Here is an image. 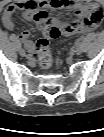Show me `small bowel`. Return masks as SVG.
<instances>
[{"label": "small bowel", "mask_w": 104, "mask_h": 137, "mask_svg": "<svg viewBox=\"0 0 104 137\" xmlns=\"http://www.w3.org/2000/svg\"><path fill=\"white\" fill-rule=\"evenodd\" d=\"M42 9H68L79 18L68 25L62 24L57 19L52 20V23L59 26L63 35L66 36L96 29L103 17L102 9L91 0H27L8 4L2 14V23L7 30H12L14 28L13 15L17 11H22L26 20L35 21V13ZM29 37L28 30H24L18 35L26 47L32 50L33 43Z\"/></svg>", "instance_id": "obj_1"}]
</instances>
